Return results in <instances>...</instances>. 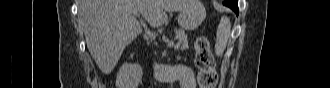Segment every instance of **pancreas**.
Here are the masks:
<instances>
[{
  "label": "pancreas",
  "instance_id": "pancreas-1",
  "mask_svg": "<svg viewBox=\"0 0 330 88\" xmlns=\"http://www.w3.org/2000/svg\"><path fill=\"white\" fill-rule=\"evenodd\" d=\"M176 36L178 38V42L175 45V49L179 50H185L188 48V40L187 35L185 34V31L182 29L176 30Z\"/></svg>",
  "mask_w": 330,
  "mask_h": 88
}]
</instances>
